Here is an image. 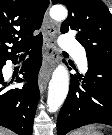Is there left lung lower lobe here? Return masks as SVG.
<instances>
[{"instance_id": "1", "label": "left lung lower lobe", "mask_w": 112, "mask_h": 135, "mask_svg": "<svg viewBox=\"0 0 112 135\" xmlns=\"http://www.w3.org/2000/svg\"><path fill=\"white\" fill-rule=\"evenodd\" d=\"M93 123L112 126V62L88 60L86 77L72 76L57 118V133L66 135Z\"/></svg>"}]
</instances>
